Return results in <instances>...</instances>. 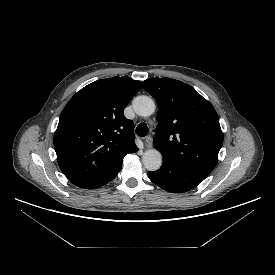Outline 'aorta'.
<instances>
[{"label": "aorta", "instance_id": "aorta-1", "mask_svg": "<svg viewBox=\"0 0 275 275\" xmlns=\"http://www.w3.org/2000/svg\"><path fill=\"white\" fill-rule=\"evenodd\" d=\"M133 109L139 116L148 117L154 113L155 103L148 96H138L133 101ZM142 162L147 170L156 171L162 165V155L156 149H149L143 154Z\"/></svg>", "mask_w": 275, "mask_h": 275}]
</instances>
